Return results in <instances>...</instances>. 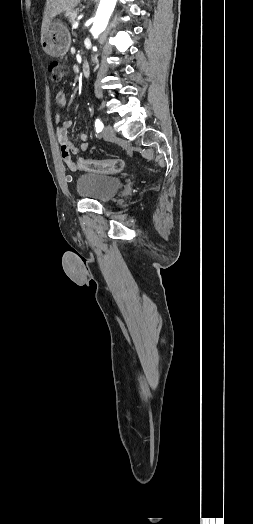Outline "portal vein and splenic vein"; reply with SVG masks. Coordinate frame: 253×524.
<instances>
[{"mask_svg": "<svg viewBox=\"0 0 253 524\" xmlns=\"http://www.w3.org/2000/svg\"><path fill=\"white\" fill-rule=\"evenodd\" d=\"M78 25H79L78 21H74L72 27H73L74 29H76V28L78 27Z\"/></svg>", "mask_w": 253, "mask_h": 524, "instance_id": "portal-vein-and-splenic-vein-1", "label": "portal vein and splenic vein"}]
</instances>
